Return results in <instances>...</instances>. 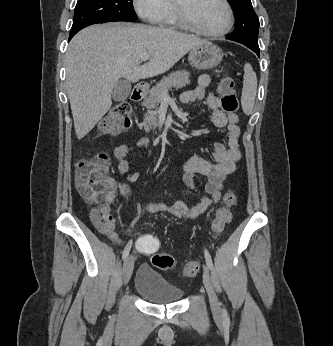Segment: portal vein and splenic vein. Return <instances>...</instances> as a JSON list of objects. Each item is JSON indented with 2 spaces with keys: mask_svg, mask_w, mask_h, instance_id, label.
I'll return each instance as SVG.
<instances>
[{
  "mask_svg": "<svg viewBox=\"0 0 333 346\" xmlns=\"http://www.w3.org/2000/svg\"><path fill=\"white\" fill-rule=\"evenodd\" d=\"M149 58H150L149 55H147V54H146V55H143V56L141 57V62H145V61H147ZM168 98H169L168 92L163 93L162 99H168Z\"/></svg>",
  "mask_w": 333,
  "mask_h": 346,
  "instance_id": "portal-vein-and-splenic-vein-1",
  "label": "portal vein and splenic vein"
}]
</instances>
